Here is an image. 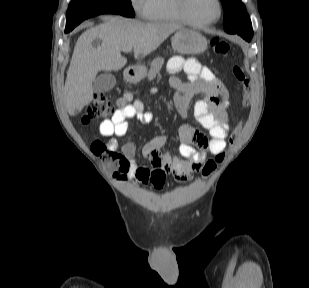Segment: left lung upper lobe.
Returning <instances> with one entry per match:
<instances>
[{
  "mask_svg": "<svg viewBox=\"0 0 309 288\" xmlns=\"http://www.w3.org/2000/svg\"><path fill=\"white\" fill-rule=\"evenodd\" d=\"M224 9V29L226 32L251 28V20L241 0H221Z\"/></svg>",
  "mask_w": 309,
  "mask_h": 288,
  "instance_id": "obj_1",
  "label": "left lung upper lobe"
}]
</instances>
